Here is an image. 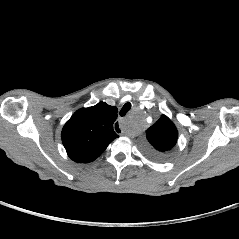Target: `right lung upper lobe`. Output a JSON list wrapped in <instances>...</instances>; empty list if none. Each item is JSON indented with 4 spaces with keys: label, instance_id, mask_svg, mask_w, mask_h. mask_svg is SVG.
Returning <instances> with one entry per match:
<instances>
[{
    "label": "right lung upper lobe",
    "instance_id": "cb5924a9",
    "mask_svg": "<svg viewBox=\"0 0 239 239\" xmlns=\"http://www.w3.org/2000/svg\"><path fill=\"white\" fill-rule=\"evenodd\" d=\"M117 112L115 106L105 102L76 111L61 134L69 157L75 162L88 163L100 156L119 137L113 129Z\"/></svg>",
    "mask_w": 239,
    "mask_h": 239
}]
</instances>
